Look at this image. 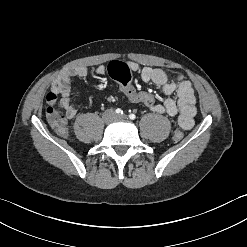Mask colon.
Returning <instances> with one entry per match:
<instances>
[{
    "label": "colon",
    "instance_id": "1",
    "mask_svg": "<svg viewBox=\"0 0 247 247\" xmlns=\"http://www.w3.org/2000/svg\"><path fill=\"white\" fill-rule=\"evenodd\" d=\"M107 72L110 77L119 82V86L124 95L133 103L144 104L151 107L156 100V95L151 92L141 91L132 84V74L125 63L113 61L108 64ZM48 108L46 117L50 125L60 135H67L66 114L64 108L57 104V96L54 93L47 95ZM184 137V131L176 128L173 131L172 139L175 142L180 141Z\"/></svg>",
    "mask_w": 247,
    "mask_h": 247
}]
</instances>
